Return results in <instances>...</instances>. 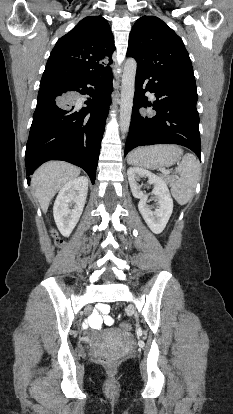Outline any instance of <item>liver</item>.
Returning a JSON list of instances; mask_svg holds the SVG:
<instances>
[{"label": "liver", "instance_id": "6515ba94", "mask_svg": "<svg viewBox=\"0 0 233 414\" xmlns=\"http://www.w3.org/2000/svg\"><path fill=\"white\" fill-rule=\"evenodd\" d=\"M79 174L78 167L62 161H50L40 166L32 176L31 186L41 209L46 212L57 192Z\"/></svg>", "mask_w": 233, "mask_h": 414}]
</instances>
